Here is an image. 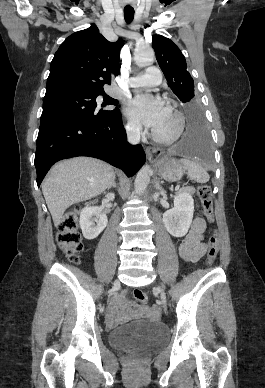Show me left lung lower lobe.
I'll return each instance as SVG.
<instances>
[{
  "label": "left lung lower lobe",
  "instance_id": "0a47b994",
  "mask_svg": "<svg viewBox=\"0 0 265 388\" xmlns=\"http://www.w3.org/2000/svg\"><path fill=\"white\" fill-rule=\"evenodd\" d=\"M176 150L200 161L211 160L209 132L200 108L187 110L185 134Z\"/></svg>",
  "mask_w": 265,
  "mask_h": 388
}]
</instances>
